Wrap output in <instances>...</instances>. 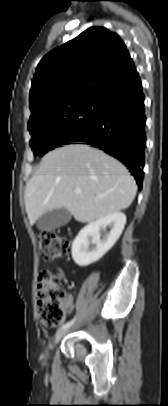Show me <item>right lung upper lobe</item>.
<instances>
[{
	"instance_id": "1",
	"label": "right lung upper lobe",
	"mask_w": 168,
	"mask_h": 406,
	"mask_svg": "<svg viewBox=\"0 0 168 406\" xmlns=\"http://www.w3.org/2000/svg\"><path fill=\"white\" fill-rule=\"evenodd\" d=\"M138 77L120 37L104 27H91L38 64L28 124L81 101L100 99Z\"/></svg>"
}]
</instances>
